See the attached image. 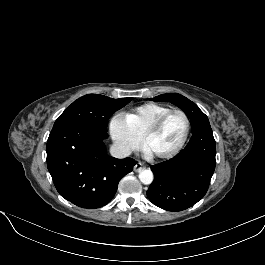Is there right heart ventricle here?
<instances>
[{
  "mask_svg": "<svg viewBox=\"0 0 265 265\" xmlns=\"http://www.w3.org/2000/svg\"><path fill=\"white\" fill-rule=\"evenodd\" d=\"M168 110L170 108L162 104L146 103L125 112L123 118L131 131L141 138L148 127Z\"/></svg>",
  "mask_w": 265,
  "mask_h": 265,
  "instance_id": "e07e8e85",
  "label": "right heart ventricle"
}]
</instances>
